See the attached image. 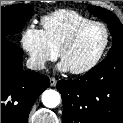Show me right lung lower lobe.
<instances>
[{"mask_svg": "<svg viewBox=\"0 0 123 123\" xmlns=\"http://www.w3.org/2000/svg\"><path fill=\"white\" fill-rule=\"evenodd\" d=\"M23 51L1 39V123H27L30 109L49 87L45 75L23 70Z\"/></svg>", "mask_w": 123, "mask_h": 123, "instance_id": "1", "label": "right lung lower lobe"}]
</instances>
